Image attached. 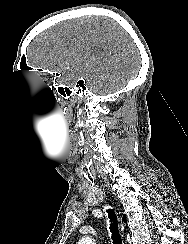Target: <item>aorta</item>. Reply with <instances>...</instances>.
Segmentation results:
<instances>
[{
	"mask_svg": "<svg viewBox=\"0 0 188 244\" xmlns=\"http://www.w3.org/2000/svg\"><path fill=\"white\" fill-rule=\"evenodd\" d=\"M77 244H95L91 237L85 236L81 238Z\"/></svg>",
	"mask_w": 188,
	"mask_h": 244,
	"instance_id": "aorta-1",
	"label": "aorta"
}]
</instances>
